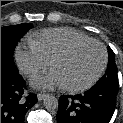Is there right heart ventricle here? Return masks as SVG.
I'll list each match as a JSON object with an SVG mask.
<instances>
[{
    "mask_svg": "<svg viewBox=\"0 0 123 123\" xmlns=\"http://www.w3.org/2000/svg\"><path fill=\"white\" fill-rule=\"evenodd\" d=\"M85 39H91L85 33L69 28L56 27L33 34L29 42L34 45L49 61L68 45Z\"/></svg>",
    "mask_w": 123,
    "mask_h": 123,
    "instance_id": "obj_1",
    "label": "right heart ventricle"
}]
</instances>
